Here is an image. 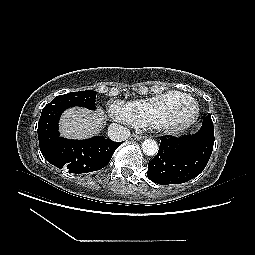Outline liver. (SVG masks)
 I'll return each mask as SVG.
<instances>
[{
	"label": "liver",
	"mask_w": 255,
	"mask_h": 255,
	"mask_svg": "<svg viewBox=\"0 0 255 255\" xmlns=\"http://www.w3.org/2000/svg\"><path fill=\"white\" fill-rule=\"evenodd\" d=\"M103 110L92 112L84 108L66 110L60 120V133L71 139H86L100 133L104 122Z\"/></svg>",
	"instance_id": "liver-1"
}]
</instances>
